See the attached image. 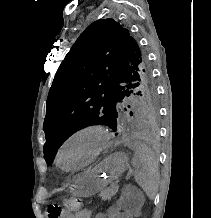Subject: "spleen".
<instances>
[{
	"instance_id": "obj_1",
	"label": "spleen",
	"mask_w": 211,
	"mask_h": 218,
	"mask_svg": "<svg viewBox=\"0 0 211 218\" xmlns=\"http://www.w3.org/2000/svg\"><path fill=\"white\" fill-rule=\"evenodd\" d=\"M132 166L135 182L150 200H154L159 188L160 174L153 152L151 150H135Z\"/></svg>"
}]
</instances>
